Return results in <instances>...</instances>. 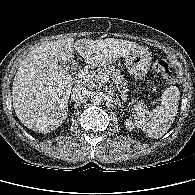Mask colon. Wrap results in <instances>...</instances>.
<instances>
[{
  "mask_svg": "<svg viewBox=\"0 0 195 195\" xmlns=\"http://www.w3.org/2000/svg\"><path fill=\"white\" fill-rule=\"evenodd\" d=\"M153 70L163 75L167 84L176 83V78L172 74L171 64L165 58H156L153 62Z\"/></svg>",
  "mask_w": 195,
  "mask_h": 195,
  "instance_id": "5ec220e1",
  "label": "colon"
}]
</instances>
